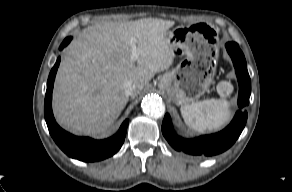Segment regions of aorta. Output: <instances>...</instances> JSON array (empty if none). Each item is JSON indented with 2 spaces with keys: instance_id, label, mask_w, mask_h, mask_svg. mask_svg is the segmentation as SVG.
Masks as SVG:
<instances>
[{
  "instance_id": "762f6f07",
  "label": "aorta",
  "mask_w": 292,
  "mask_h": 192,
  "mask_svg": "<svg viewBox=\"0 0 292 192\" xmlns=\"http://www.w3.org/2000/svg\"><path fill=\"white\" fill-rule=\"evenodd\" d=\"M141 107L146 114L155 118H159L164 114L162 100L156 95H149L143 98Z\"/></svg>"
}]
</instances>
